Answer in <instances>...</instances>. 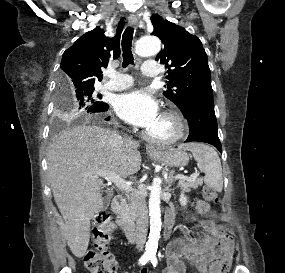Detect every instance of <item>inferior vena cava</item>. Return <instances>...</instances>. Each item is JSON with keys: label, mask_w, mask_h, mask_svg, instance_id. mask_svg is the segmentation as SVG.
Wrapping results in <instances>:
<instances>
[{"label": "inferior vena cava", "mask_w": 285, "mask_h": 273, "mask_svg": "<svg viewBox=\"0 0 285 273\" xmlns=\"http://www.w3.org/2000/svg\"><path fill=\"white\" fill-rule=\"evenodd\" d=\"M110 144L116 149L120 148L123 139L115 132H109ZM134 206L136 213V247L142 251L146 242L147 229H148V211L146 206L145 197L139 191L134 195Z\"/></svg>", "instance_id": "602c4592"}]
</instances>
